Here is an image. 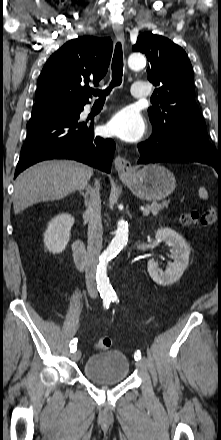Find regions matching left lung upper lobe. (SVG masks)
Listing matches in <instances>:
<instances>
[{
  "mask_svg": "<svg viewBox=\"0 0 221 440\" xmlns=\"http://www.w3.org/2000/svg\"><path fill=\"white\" fill-rule=\"evenodd\" d=\"M133 51L145 53L150 62L148 80L157 86L155 107L148 109L153 130L189 128L207 136L203 116L194 97V74L186 52L171 40L145 32L138 36Z\"/></svg>",
  "mask_w": 221,
  "mask_h": 440,
  "instance_id": "5c2ea615",
  "label": "left lung upper lobe"
}]
</instances>
